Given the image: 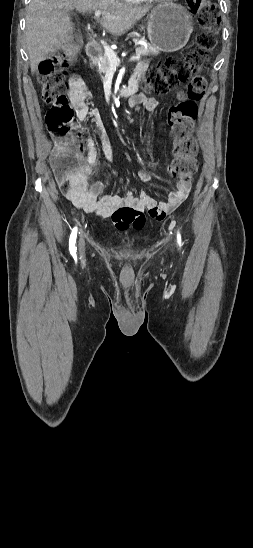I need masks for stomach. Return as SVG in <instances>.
Segmentation results:
<instances>
[{
  "mask_svg": "<svg viewBox=\"0 0 253 548\" xmlns=\"http://www.w3.org/2000/svg\"><path fill=\"white\" fill-rule=\"evenodd\" d=\"M193 31L188 11L175 3L155 7L147 21L150 43L161 51L172 52L184 47Z\"/></svg>",
  "mask_w": 253,
  "mask_h": 548,
  "instance_id": "1",
  "label": "stomach"
}]
</instances>
